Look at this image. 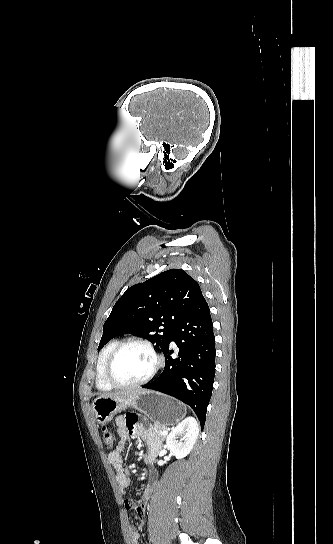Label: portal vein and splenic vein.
<instances>
[{
	"label": "portal vein and splenic vein",
	"mask_w": 333,
	"mask_h": 544,
	"mask_svg": "<svg viewBox=\"0 0 333 544\" xmlns=\"http://www.w3.org/2000/svg\"><path fill=\"white\" fill-rule=\"evenodd\" d=\"M161 434H162V435H166V434H167V431H163Z\"/></svg>",
	"instance_id": "obj_1"
}]
</instances>
